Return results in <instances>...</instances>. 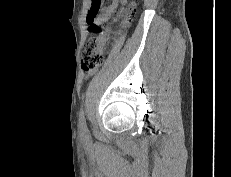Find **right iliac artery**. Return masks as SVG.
I'll return each mask as SVG.
<instances>
[{
  "instance_id": "obj_1",
  "label": "right iliac artery",
  "mask_w": 231,
  "mask_h": 177,
  "mask_svg": "<svg viewBox=\"0 0 231 177\" xmlns=\"http://www.w3.org/2000/svg\"><path fill=\"white\" fill-rule=\"evenodd\" d=\"M79 121H80V127H81L82 133L86 134L87 133V126H86V121H85L83 110H81V112H80Z\"/></svg>"
}]
</instances>
